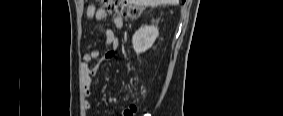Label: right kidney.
Here are the masks:
<instances>
[{
    "label": "right kidney",
    "instance_id": "ca27d5eb",
    "mask_svg": "<svg viewBox=\"0 0 283 116\" xmlns=\"http://www.w3.org/2000/svg\"><path fill=\"white\" fill-rule=\"evenodd\" d=\"M158 28L155 26H142L132 38L133 49L137 54L143 53L152 47L158 37Z\"/></svg>",
    "mask_w": 283,
    "mask_h": 116
}]
</instances>
